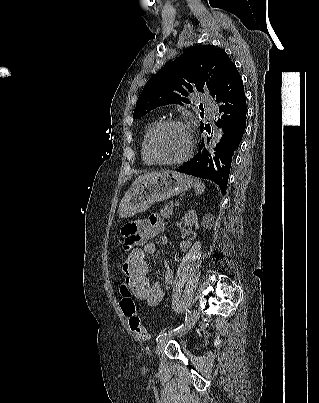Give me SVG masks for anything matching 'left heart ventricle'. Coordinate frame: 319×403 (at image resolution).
Here are the masks:
<instances>
[{
    "label": "left heart ventricle",
    "instance_id": "left-heart-ventricle-1",
    "mask_svg": "<svg viewBox=\"0 0 319 403\" xmlns=\"http://www.w3.org/2000/svg\"><path fill=\"white\" fill-rule=\"evenodd\" d=\"M189 139L186 131L176 125L164 127L154 141L155 154L165 160L177 159L188 149Z\"/></svg>",
    "mask_w": 319,
    "mask_h": 403
}]
</instances>
